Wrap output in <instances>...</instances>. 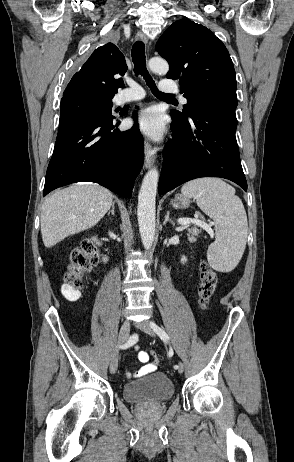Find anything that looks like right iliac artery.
Returning a JSON list of instances; mask_svg holds the SVG:
<instances>
[{"mask_svg":"<svg viewBox=\"0 0 294 462\" xmlns=\"http://www.w3.org/2000/svg\"><path fill=\"white\" fill-rule=\"evenodd\" d=\"M137 341H138V335L133 334L125 344L120 346V348L121 349L129 348L130 346L134 345Z\"/></svg>","mask_w":294,"mask_h":462,"instance_id":"82829eb1","label":"right iliac artery"}]
</instances>
